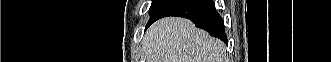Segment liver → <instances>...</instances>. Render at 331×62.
I'll use <instances>...</instances> for the list:
<instances>
[{"instance_id": "6515ba94", "label": "liver", "mask_w": 331, "mask_h": 62, "mask_svg": "<svg viewBox=\"0 0 331 62\" xmlns=\"http://www.w3.org/2000/svg\"><path fill=\"white\" fill-rule=\"evenodd\" d=\"M146 62H224L225 44L184 18L155 22L143 40Z\"/></svg>"}]
</instances>
